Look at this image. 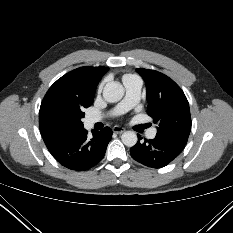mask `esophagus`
Returning <instances> with one entry per match:
<instances>
[{"label": "esophagus", "mask_w": 233, "mask_h": 233, "mask_svg": "<svg viewBox=\"0 0 233 233\" xmlns=\"http://www.w3.org/2000/svg\"><path fill=\"white\" fill-rule=\"evenodd\" d=\"M125 131V129L123 127H120V126H114L113 127V132L114 133H118V134H121Z\"/></svg>", "instance_id": "34e87169"}]
</instances>
